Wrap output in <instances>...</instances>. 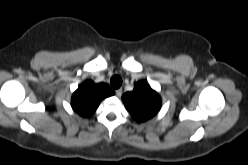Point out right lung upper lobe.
<instances>
[{"instance_id": "1", "label": "right lung upper lobe", "mask_w": 248, "mask_h": 165, "mask_svg": "<svg viewBox=\"0 0 248 165\" xmlns=\"http://www.w3.org/2000/svg\"><path fill=\"white\" fill-rule=\"evenodd\" d=\"M114 95V91L105 83L84 82L74 93L71 105L79 115L88 117L94 113L102 99Z\"/></svg>"}]
</instances>
